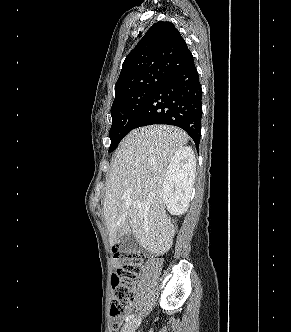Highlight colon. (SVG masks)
I'll use <instances>...</instances> for the list:
<instances>
[{"label":"colon","instance_id":"colon-1","mask_svg":"<svg viewBox=\"0 0 291 332\" xmlns=\"http://www.w3.org/2000/svg\"><path fill=\"white\" fill-rule=\"evenodd\" d=\"M115 257L120 259L122 266L112 275V299L110 315L114 319V327L118 328L121 320L128 313L135 299V289L143 264V256L136 250L115 247Z\"/></svg>","mask_w":291,"mask_h":332}]
</instances>
